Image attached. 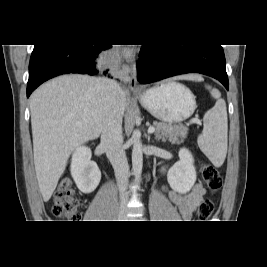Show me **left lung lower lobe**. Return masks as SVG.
Masks as SVG:
<instances>
[{
  "mask_svg": "<svg viewBox=\"0 0 267 267\" xmlns=\"http://www.w3.org/2000/svg\"><path fill=\"white\" fill-rule=\"evenodd\" d=\"M138 82L148 84L171 76L201 73L219 80L228 90L221 45H148L140 51Z\"/></svg>",
  "mask_w": 267,
  "mask_h": 267,
  "instance_id": "obj_1",
  "label": "left lung lower lobe"
}]
</instances>
